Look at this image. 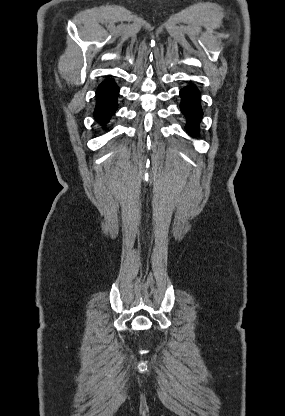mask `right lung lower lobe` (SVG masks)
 <instances>
[{"instance_id":"1","label":"right lung lower lobe","mask_w":285,"mask_h":416,"mask_svg":"<svg viewBox=\"0 0 285 416\" xmlns=\"http://www.w3.org/2000/svg\"><path fill=\"white\" fill-rule=\"evenodd\" d=\"M119 87L113 79H106L97 88L96 91V108L94 117L97 122L105 124L109 121L112 114L117 109V96Z\"/></svg>"}]
</instances>
